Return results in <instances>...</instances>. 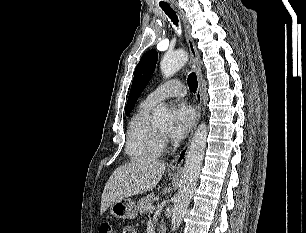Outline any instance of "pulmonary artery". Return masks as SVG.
<instances>
[{
    "instance_id": "obj_1",
    "label": "pulmonary artery",
    "mask_w": 306,
    "mask_h": 233,
    "mask_svg": "<svg viewBox=\"0 0 306 233\" xmlns=\"http://www.w3.org/2000/svg\"><path fill=\"white\" fill-rule=\"evenodd\" d=\"M186 94V89L183 84L176 80L168 81L154 91L148 94L145 101L150 104L157 105L163 100L170 97H183Z\"/></svg>"
}]
</instances>
